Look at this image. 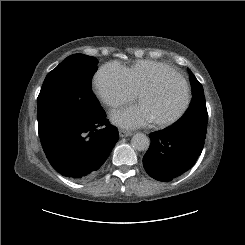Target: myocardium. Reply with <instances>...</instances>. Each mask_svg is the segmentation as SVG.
Instances as JSON below:
<instances>
[{
    "label": "myocardium",
    "mask_w": 245,
    "mask_h": 245,
    "mask_svg": "<svg viewBox=\"0 0 245 245\" xmlns=\"http://www.w3.org/2000/svg\"><path fill=\"white\" fill-rule=\"evenodd\" d=\"M166 75H174L182 83L184 90H185V102H184V105L182 106V108L180 109V111L178 113H176L174 116H172L168 119H164V120L154 122L155 126L158 128H167V127L175 124L176 122H178L185 115V113L187 112V110L189 109L190 104H191V97L192 96H191V89H190L189 83L185 79V77L179 71H177L174 68H170L166 71L159 73L157 75V78L155 79V81L152 84L144 87L138 93V98L143 94L158 92L160 90L159 80L162 79L163 77H165Z\"/></svg>",
    "instance_id": "f54148a6"
}]
</instances>
